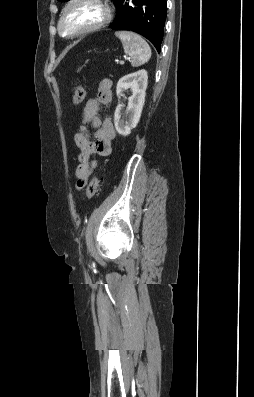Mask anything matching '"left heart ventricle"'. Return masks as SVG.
I'll use <instances>...</instances> for the list:
<instances>
[{
    "label": "left heart ventricle",
    "mask_w": 254,
    "mask_h": 397,
    "mask_svg": "<svg viewBox=\"0 0 254 397\" xmlns=\"http://www.w3.org/2000/svg\"><path fill=\"white\" fill-rule=\"evenodd\" d=\"M103 16V9L93 2H81L74 5L62 23L65 34L76 32L98 22Z\"/></svg>",
    "instance_id": "obj_1"
}]
</instances>
